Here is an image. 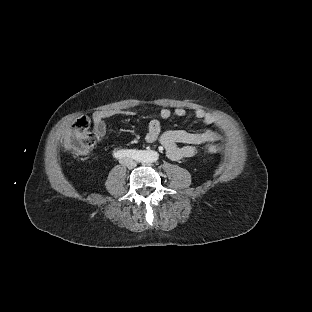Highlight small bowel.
<instances>
[{"mask_svg": "<svg viewBox=\"0 0 312 312\" xmlns=\"http://www.w3.org/2000/svg\"><path fill=\"white\" fill-rule=\"evenodd\" d=\"M172 114L177 117H185L187 110L184 107H176L174 110L164 107L159 112L160 118L164 120L169 119ZM114 115L133 116L135 112L132 110H106L94 113L92 117L93 132L98 139L103 138L105 135V120ZM194 116L205 127L214 128L217 126L215 116L201 108L194 110ZM218 136V133L213 129H207L198 133L185 130H168L162 132L160 120L152 119L147 126L145 141L148 144L159 142L168 158L171 160H181L192 157L196 152L195 146L213 143L218 140Z\"/></svg>", "mask_w": 312, "mask_h": 312, "instance_id": "c3829d8e", "label": "small bowel"}]
</instances>
